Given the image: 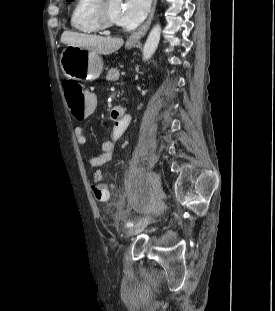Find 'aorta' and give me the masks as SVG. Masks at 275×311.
Instances as JSON below:
<instances>
[{
	"instance_id": "762f6f07",
	"label": "aorta",
	"mask_w": 275,
	"mask_h": 311,
	"mask_svg": "<svg viewBox=\"0 0 275 311\" xmlns=\"http://www.w3.org/2000/svg\"><path fill=\"white\" fill-rule=\"evenodd\" d=\"M160 31L161 27L159 24H156L149 33V36L145 42L143 48V60L147 61L154 54L159 41H160Z\"/></svg>"
}]
</instances>
